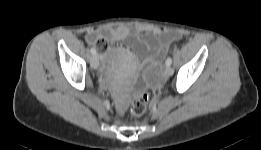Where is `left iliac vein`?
<instances>
[{"label":"left iliac vein","instance_id":"4c4485c4","mask_svg":"<svg viewBox=\"0 0 261 150\" xmlns=\"http://www.w3.org/2000/svg\"><path fill=\"white\" fill-rule=\"evenodd\" d=\"M164 73H165L166 76H172L173 73H174V70H173L172 67H170V66H166V67H165V71H164Z\"/></svg>","mask_w":261,"mask_h":150}]
</instances>
